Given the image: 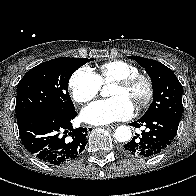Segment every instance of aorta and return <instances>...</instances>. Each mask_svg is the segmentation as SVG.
Instances as JSON below:
<instances>
[{
    "label": "aorta",
    "mask_w": 196,
    "mask_h": 196,
    "mask_svg": "<svg viewBox=\"0 0 196 196\" xmlns=\"http://www.w3.org/2000/svg\"><path fill=\"white\" fill-rule=\"evenodd\" d=\"M100 95L102 97H107L109 96V93L107 91V86H104L103 89L101 90V93ZM131 136H132V132H131V129L130 127L128 126H119L117 127V129L115 130V133H114V137L117 141L119 142H126V141H129L131 139Z\"/></svg>",
    "instance_id": "aorta-1"
}]
</instances>
